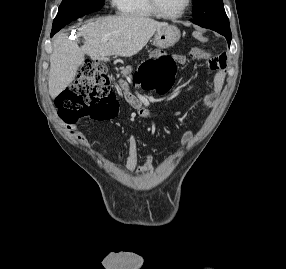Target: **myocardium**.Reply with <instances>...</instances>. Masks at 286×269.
<instances>
[{"label":"myocardium","mask_w":286,"mask_h":269,"mask_svg":"<svg viewBox=\"0 0 286 269\" xmlns=\"http://www.w3.org/2000/svg\"><path fill=\"white\" fill-rule=\"evenodd\" d=\"M148 1V5L150 7V9L153 11V13L160 18L163 19H169V20H174V19H178L181 18L189 9L190 5H191V0H186L185 5L183 6V8L181 9L180 12L173 14V15H169L164 13L161 8L159 7L158 4V0H147Z\"/></svg>","instance_id":"obj_1"}]
</instances>
